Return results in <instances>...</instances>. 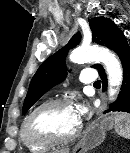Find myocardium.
Masks as SVG:
<instances>
[{
	"label": "myocardium",
	"instance_id": "obj_1",
	"mask_svg": "<svg viewBox=\"0 0 130 153\" xmlns=\"http://www.w3.org/2000/svg\"><path fill=\"white\" fill-rule=\"evenodd\" d=\"M65 105H73V102L70 99L67 98H56V99H51L49 101H46L39 106H37L26 118V120L23 123V131L26 136V138L38 145H65L68 144L72 141H74L78 135L80 134L81 131V123L79 122L75 130L68 136L66 137H55L49 134H37L33 131L32 129V124L34 119L38 114L41 112L57 107V106H65Z\"/></svg>",
	"mask_w": 130,
	"mask_h": 153
}]
</instances>
